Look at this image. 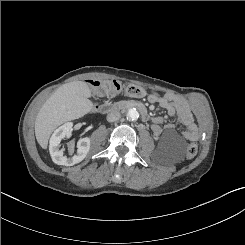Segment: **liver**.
Masks as SVG:
<instances>
[{
    "mask_svg": "<svg viewBox=\"0 0 245 245\" xmlns=\"http://www.w3.org/2000/svg\"><path fill=\"white\" fill-rule=\"evenodd\" d=\"M91 95L86 82L75 81L62 85L46 100L35 120V136L43 149L47 148L49 138L58 126L92 110Z\"/></svg>",
    "mask_w": 245,
    "mask_h": 245,
    "instance_id": "6515ba94",
    "label": "liver"
}]
</instances>
